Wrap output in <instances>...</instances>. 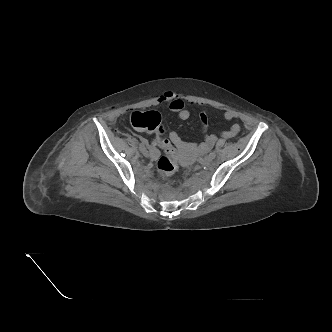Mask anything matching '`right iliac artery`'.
Returning <instances> with one entry per match:
<instances>
[{
	"label": "right iliac artery",
	"instance_id": "82829eb1",
	"mask_svg": "<svg viewBox=\"0 0 332 332\" xmlns=\"http://www.w3.org/2000/svg\"><path fill=\"white\" fill-rule=\"evenodd\" d=\"M141 144H143V145H148V143L144 140V139H141Z\"/></svg>",
	"mask_w": 332,
	"mask_h": 332
}]
</instances>
